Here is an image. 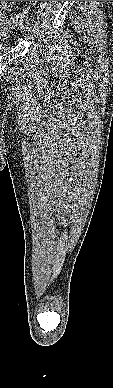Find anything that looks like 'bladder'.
Instances as JSON below:
<instances>
[{
	"label": "bladder",
	"instance_id": "31cf9c89",
	"mask_svg": "<svg viewBox=\"0 0 113 388\" xmlns=\"http://www.w3.org/2000/svg\"><path fill=\"white\" fill-rule=\"evenodd\" d=\"M10 29L9 24L2 20L0 22V55L4 54L7 51V46L4 44V39L7 36V32Z\"/></svg>",
	"mask_w": 113,
	"mask_h": 388
}]
</instances>
